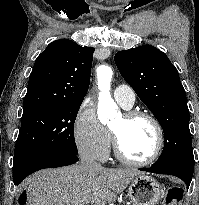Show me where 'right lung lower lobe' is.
<instances>
[{
  "label": "right lung lower lobe",
  "mask_w": 199,
  "mask_h": 205,
  "mask_svg": "<svg viewBox=\"0 0 199 205\" xmlns=\"http://www.w3.org/2000/svg\"><path fill=\"white\" fill-rule=\"evenodd\" d=\"M77 161L78 157L76 155H69L61 152H49L38 155L13 167L14 185L20 184L28 175L40 169L67 166Z\"/></svg>",
  "instance_id": "1"
}]
</instances>
